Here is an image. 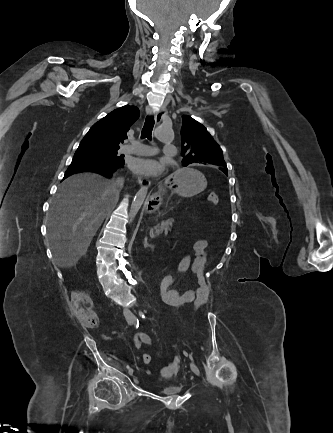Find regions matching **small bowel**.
<instances>
[{
  "mask_svg": "<svg viewBox=\"0 0 333 433\" xmlns=\"http://www.w3.org/2000/svg\"><path fill=\"white\" fill-rule=\"evenodd\" d=\"M208 247H209V243L207 240H198L195 242L193 247L194 248L193 267L197 273V286L194 288L187 289L182 293H180L175 289V284L179 275L183 274L189 269L191 265V259L189 255H184L181 258L176 273L171 274L173 276L172 279L173 284L170 287H168L172 291L171 294H173V297L170 298L173 299V302L174 301L176 302L186 301L187 303L193 302L196 309H200L207 303L210 295V286L204 276V270L209 264ZM171 304L172 303H170L169 305ZM99 337L105 341L110 340V337L102 333H99ZM133 345L136 349L141 348L142 345H146L149 347L152 345V338L147 333H143V332L138 333L134 337Z\"/></svg>",
  "mask_w": 333,
  "mask_h": 433,
  "instance_id": "small-bowel-1",
  "label": "small bowel"
}]
</instances>
